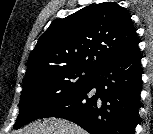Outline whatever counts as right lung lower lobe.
Instances as JSON below:
<instances>
[{
  "instance_id": "98d812e1",
  "label": "right lung lower lobe",
  "mask_w": 153,
  "mask_h": 134,
  "mask_svg": "<svg viewBox=\"0 0 153 134\" xmlns=\"http://www.w3.org/2000/svg\"><path fill=\"white\" fill-rule=\"evenodd\" d=\"M138 45L93 70L88 82L39 118L72 121L90 134H134L141 93Z\"/></svg>"
}]
</instances>
